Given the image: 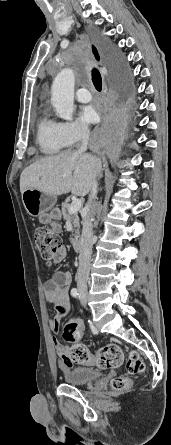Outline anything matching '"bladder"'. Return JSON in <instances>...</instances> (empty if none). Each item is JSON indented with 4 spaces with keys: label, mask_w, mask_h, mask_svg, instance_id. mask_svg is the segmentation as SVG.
Segmentation results:
<instances>
[{
    "label": "bladder",
    "mask_w": 171,
    "mask_h": 445,
    "mask_svg": "<svg viewBox=\"0 0 171 445\" xmlns=\"http://www.w3.org/2000/svg\"><path fill=\"white\" fill-rule=\"evenodd\" d=\"M102 375L99 369L93 367L74 368L64 373L67 384L85 385L97 381Z\"/></svg>",
    "instance_id": "31cf9c89"
}]
</instances>
